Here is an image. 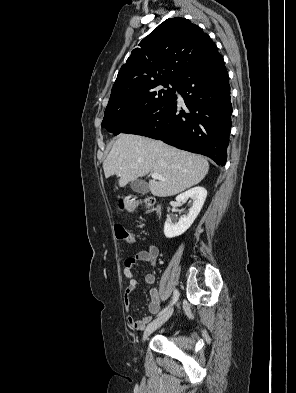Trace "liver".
<instances>
[{
    "instance_id": "liver-1",
    "label": "liver",
    "mask_w": 296,
    "mask_h": 393,
    "mask_svg": "<svg viewBox=\"0 0 296 393\" xmlns=\"http://www.w3.org/2000/svg\"><path fill=\"white\" fill-rule=\"evenodd\" d=\"M106 178L117 175L119 186L148 173H158L165 181H149L154 196L179 194L198 184L209 170L208 161L200 155L182 151L162 141L133 134H121L103 162Z\"/></svg>"
}]
</instances>
